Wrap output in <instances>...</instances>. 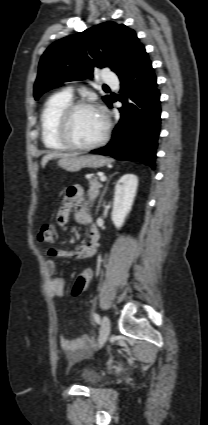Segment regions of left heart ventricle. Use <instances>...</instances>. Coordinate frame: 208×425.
Instances as JSON below:
<instances>
[{
	"mask_svg": "<svg viewBox=\"0 0 208 425\" xmlns=\"http://www.w3.org/2000/svg\"><path fill=\"white\" fill-rule=\"evenodd\" d=\"M104 131V119L95 110L82 109L74 115L71 134L79 144H90L97 141Z\"/></svg>",
	"mask_w": 208,
	"mask_h": 425,
	"instance_id": "b2bd125f",
	"label": "left heart ventricle"
}]
</instances>
